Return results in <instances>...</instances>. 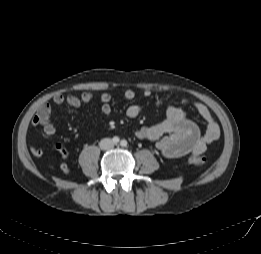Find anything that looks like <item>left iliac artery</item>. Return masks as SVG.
Instances as JSON below:
<instances>
[{"mask_svg": "<svg viewBox=\"0 0 261 254\" xmlns=\"http://www.w3.org/2000/svg\"><path fill=\"white\" fill-rule=\"evenodd\" d=\"M120 144H121V146L126 147L127 146V141L126 140H122Z\"/></svg>", "mask_w": 261, "mask_h": 254, "instance_id": "1", "label": "left iliac artery"}]
</instances>
